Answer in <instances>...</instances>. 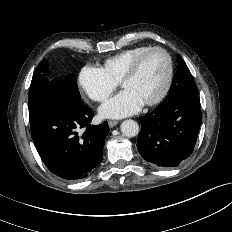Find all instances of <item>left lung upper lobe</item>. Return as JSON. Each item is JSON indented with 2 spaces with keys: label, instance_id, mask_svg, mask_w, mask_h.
Masks as SVG:
<instances>
[{
  "label": "left lung upper lobe",
  "instance_id": "obj_1",
  "mask_svg": "<svg viewBox=\"0 0 232 232\" xmlns=\"http://www.w3.org/2000/svg\"><path fill=\"white\" fill-rule=\"evenodd\" d=\"M177 62L179 65L170 92L198 95V88L194 78L180 55H177Z\"/></svg>",
  "mask_w": 232,
  "mask_h": 232
}]
</instances>
